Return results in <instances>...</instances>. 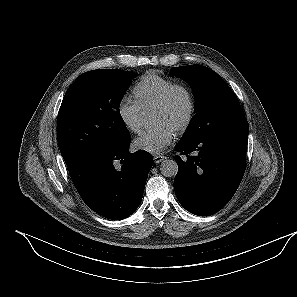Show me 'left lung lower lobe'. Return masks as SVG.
Returning <instances> with one entry per match:
<instances>
[{
    "instance_id": "1",
    "label": "left lung lower lobe",
    "mask_w": 297,
    "mask_h": 297,
    "mask_svg": "<svg viewBox=\"0 0 297 297\" xmlns=\"http://www.w3.org/2000/svg\"><path fill=\"white\" fill-rule=\"evenodd\" d=\"M249 125L237 119L206 134L181 140L175 150L174 190L180 204L198 216L213 215L233 197L245 172ZM197 156L188 154L195 152Z\"/></svg>"
}]
</instances>
